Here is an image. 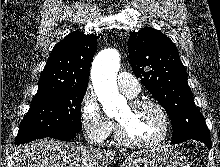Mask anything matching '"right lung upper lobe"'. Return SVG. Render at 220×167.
<instances>
[{
  "mask_svg": "<svg viewBox=\"0 0 220 167\" xmlns=\"http://www.w3.org/2000/svg\"><path fill=\"white\" fill-rule=\"evenodd\" d=\"M97 36L71 32L57 43L39 79L38 99L65 88H87Z\"/></svg>",
  "mask_w": 220,
  "mask_h": 167,
  "instance_id": "cb5924a9",
  "label": "right lung upper lobe"
}]
</instances>
